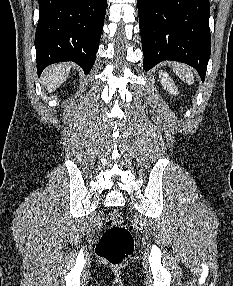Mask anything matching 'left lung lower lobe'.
<instances>
[{
	"label": "left lung lower lobe",
	"mask_w": 233,
	"mask_h": 286,
	"mask_svg": "<svg viewBox=\"0 0 233 286\" xmlns=\"http://www.w3.org/2000/svg\"><path fill=\"white\" fill-rule=\"evenodd\" d=\"M144 53L149 70L164 60L194 67L202 81L210 58L209 0H137Z\"/></svg>",
	"instance_id": "left-lung-lower-lobe-1"
}]
</instances>
